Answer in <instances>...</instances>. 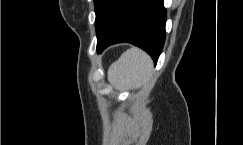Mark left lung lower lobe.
<instances>
[{
	"label": "left lung lower lobe",
	"mask_w": 243,
	"mask_h": 145,
	"mask_svg": "<svg viewBox=\"0 0 243 145\" xmlns=\"http://www.w3.org/2000/svg\"><path fill=\"white\" fill-rule=\"evenodd\" d=\"M163 0H129L105 34L97 32V53L128 42L145 50L156 63L165 42Z\"/></svg>",
	"instance_id": "1"
}]
</instances>
